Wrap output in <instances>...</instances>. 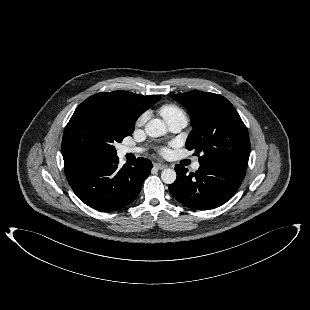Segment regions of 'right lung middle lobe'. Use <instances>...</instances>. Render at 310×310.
I'll list each match as a JSON object with an SVG mask.
<instances>
[{
  "instance_id": "1",
  "label": "right lung middle lobe",
  "mask_w": 310,
  "mask_h": 310,
  "mask_svg": "<svg viewBox=\"0 0 310 310\" xmlns=\"http://www.w3.org/2000/svg\"><path fill=\"white\" fill-rule=\"evenodd\" d=\"M134 126L104 112H74L62 139V154L74 159L116 156L114 142L130 136Z\"/></svg>"
}]
</instances>
